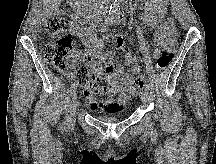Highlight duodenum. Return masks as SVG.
<instances>
[{
    "label": "duodenum",
    "instance_id": "410a0bca",
    "mask_svg": "<svg viewBox=\"0 0 216 164\" xmlns=\"http://www.w3.org/2000/svg\"><path fill=\"white\" fill-rule=\"evenodd\" d=\"M75 11L87 18H95L98 13L99 6L91 3L89 0H72Z\"/></svg>",
    "mask_w": 216,
    "mask_h": 164
}]
</instances>
